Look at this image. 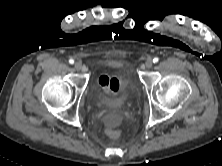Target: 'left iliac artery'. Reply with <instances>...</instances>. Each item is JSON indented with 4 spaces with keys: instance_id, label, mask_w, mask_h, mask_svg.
Segmentation results:
<instances>
[{
    "instance_id": "obj_1",
    "label": "left iliac artery",
    "mask_w": 222,
    "mask_h": 166,
    "mask_svg": "<svg viewBox=\"0 0 222 166\" xmlns=\"http://www.w3.org/2000/svg\"><path fill=\"white\" fill-rule=\"evenodd\" d=\"M159 61V58H157V57H155L154 59H153V62L154 63H157Z\"/></svg>"
}]
</instances>
